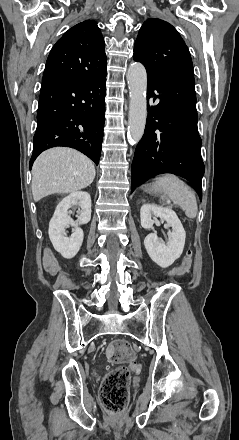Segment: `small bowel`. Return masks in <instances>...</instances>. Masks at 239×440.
Here are the masks:
<instances>
[{
	"label": "small bowel",
	"mask_w": 239,
	"mask_h": 440,
	"mask_svg": "<svg viewBox=\"0 0 239 440\" xmlns=\"http://www.w3.org/2000/svg\"><path fill=\"white\" fill-rule=\"evenodd\" d=\"M43 265L45 270L51 275L58 274L61 269L58 260L48 249H46L43 253Z\"/></svg>",
	"instance_id": "small-bowel-1"
}]
</instances>
